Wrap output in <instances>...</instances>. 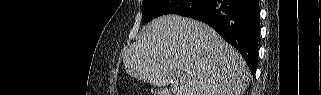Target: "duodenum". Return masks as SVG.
I'll use <instances>...</instances> for the list:
<instances>
[{"instance_id":"410a0bca","label":"duodenum","mask_w":321,"mask_h":95,"mask_svg":"<svg viewBox=\"0 0 321 95\" xmlns=\"http://www.w3.org/2000/svg\"><path fill=\"white\" fill-rule=\"evenodd\" d=\"M162 95H168V93H163Z\"/></svg>"}]
</instances>
